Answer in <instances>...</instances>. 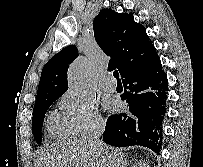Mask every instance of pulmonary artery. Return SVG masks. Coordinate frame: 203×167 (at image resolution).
I'll use <instances>...</instances> for the list:
<instances>
[{
	"label": "pulmonary artery",
	"instance_id": "e3ab8cb5",
	"mask_svg": "<svg viewBox=\"0 0 203 167\" xmlns=\"http://www.w3.org/2000/svg\"><path fill=\"white\" fill-rule=\"evenodd\" d=\"M116 82L112 76H107L103 82V88L107 91H115L116 90Z\"/></svg>",
	"mask_w": 203,
	"mask_h": 167
}]
</instances>
